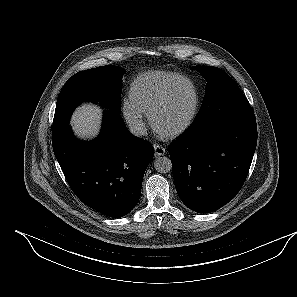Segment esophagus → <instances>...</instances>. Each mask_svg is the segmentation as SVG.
I'll return each instance as SVG.
<instances>
[{"label":"esophagus","mask_w":297,"mask_h":297,"mask_svg":"<svg viewBox=\"0 0 297 297\" xmlns=\"http://www.w3.org/2000/svg\"><path fill=\"white\" fill-rule=\"evenodd\" d=\"M153 147H154L155 156H162L166 153L165 148L159 144H154Z\"/></svg>","instance_id":"esophagus-1"}]
</instances>
